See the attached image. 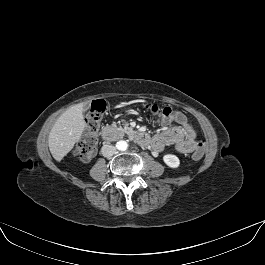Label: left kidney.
Returning a JSON list of instances; mask_svg holds the SVG:
<instances>
[{
    "mask_svg": "<svg viewBox=\"0 0 265 265\" xmlns=\"http://www.w3.org/2000/svg\"><path fill=\"white\" fill-rule=\"evenodd\" d=\"M164 163L170 168H178L180 165V160L176 155L166 154L163 156Z\"/></svg>",
    "mask_w": 265,
    "mask_h": 265,
    "instance_id": "5707ae66",
    "label": "left kidney"
}]
</instances>
